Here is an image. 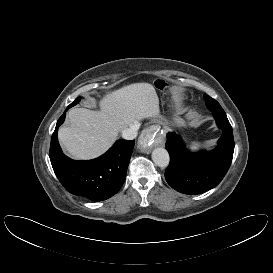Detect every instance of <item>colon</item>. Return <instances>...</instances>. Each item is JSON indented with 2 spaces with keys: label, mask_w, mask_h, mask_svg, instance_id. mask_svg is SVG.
I'll return each mask as SVG.
<instances>
[{
  "label": "colon",
  "mask_w": 273,
  "mask_h": 273,
  "mask_svg": "<svg viewBox=\"0 0 273 273\" xmlns=\"http://www.w3.org/2000/svg\"><path fill=\"white\" fill-rule=\"evenodd\" d=\"M158 87L159 88H163L164 87V85H165V83L163 82V81H158Z\"/></svg>",
  "instance_id": "colon-1"
}]
</instances>
